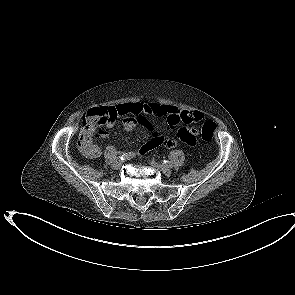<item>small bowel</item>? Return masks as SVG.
<instances>
[{
  "label": "small bowel",
  "mask_w": 295,
  "mask_h": 295,
  "mask_svg": "<svg viewBox=\"0 0 295 295\" xmlns=\"http://www.w3.org/2000/svg\"><path fill=\"white\" fill-rule=\"evenodd\" d=\"M107 110L108 116L106 119L97 122H90L83 131H85L92 139V135L96 133L97 137L105 138L107 133L103 127L111 128L114 126L115 118H123V128L125 131H132L140 122L149 130L153 131V136L148 139V142L142 146L140 153H147L152 149H158L161 145L173 148L180 142L194 145L195 131L193 128H180L181 124L192 126L196 121L202 119V114L199 112H190L179 110L174 106L160 104L158 102L148 103H124L116 106L101 107ZM157 116L165 119L167 125L172 129H177L176 136L172 138L164 137L161 133L154 131L153 123L143 117L138 119V115ZM85 156L89 158H97L101 154V150L97 144L90 143V150L83 151Z\"/></svg>",
  "instance_id": "c3829d8e"
}]
</instances>
